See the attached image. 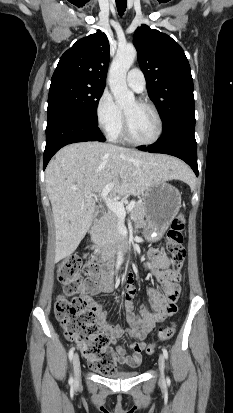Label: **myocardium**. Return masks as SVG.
Wrapping results in <instances>:
<instances>
[{"mask_svg": "<svg viewBox=\"0 0 233 413\" xmlns=\"http://www.w3.org/2000/svg\"><path fill=\"white\" fill-rule=\"evenodd\" d=\"M136 102L141 106L149 108L153 112V114L156 117L157 124H158L157 132H156V135L154 136V138L149 140V141H139V140L135 139L131 134L128 118H127L126 114L123 113V115H124V125H123L124 138H125L126 141H128L129 143H131L135 146H150V145H153V144L157 143L163 135V130H164L163 119L161 117V114H160L159 110L157 109V107L153 103H151L149 101H146V100H138Z\"/></svg>", "mask_w": 233, "mask_h": 413, "instance_id": "obj_1", "label": "myocardium"}]
</instances>
